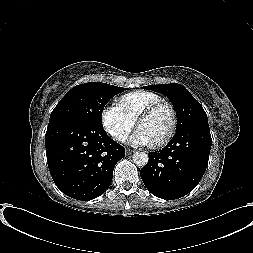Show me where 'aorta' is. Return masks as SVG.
<instances>
[{
  "instance_id": "obj_1",
  "label": "aorta",
  "mask_w": 253,
  "mask_h": 253,
  "mask_svg": "<svg viewBox=\"0 0 253 253\" xmlns=\"http://www.w3.org/2000/svg\"><path fill=\"white\" fill-rule=\"evenodd\" d=\"M133 162L139 166L144 167L148 163V154L145 152H135L132 156Z\"/></svg>"
}]
</instances>
